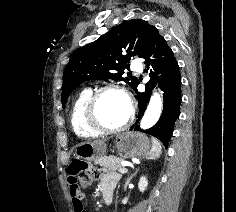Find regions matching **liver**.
<instances>
[{
    "label": "liver",
    "instance_id": "obj_1",
    "mask_svg": "<svg viewBox=\"0 0 236 212\" xmlns=\"http://www.w3.org/2000/svg\"><path fill=\"white\" fill-rule=\"evenodd\" d=\"M88 143L99 146V145H104L105 141L104 140H95L93 142H88Z\"/></svg>",
    "mask_w": 236,
    "mask_h": 212
}]
</instances>
